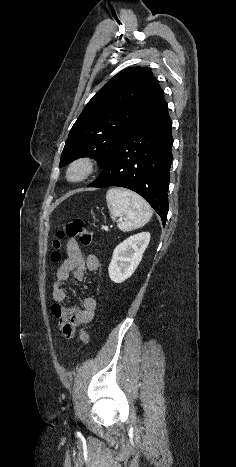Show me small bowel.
<instances>
[{
  "mask_svg": "<svg viewBox=\"0 0 236 467\" xmlns=\"http://www.w3.org/2000/svg\"><path fill=\"white\" fill-rule=\"evenodd\" d=\"M100 267V261L95 255L83 257L78 243L70 240L67 244V258L56 272L53 283V299L55 303L51 312L57 320V327L64 337H75L79 326L90 323L95 315L96 301L93 297L86 296L82 300V308L66 303V292L63 285L72 274L74 279L82 281L86 270L96 272Z\"/></svg>",
  "mask_w": 236,
  "mask_h": 467,
  "instance_id": "c3829d8e",
  "label": "small bowel"
}]
</instances>
